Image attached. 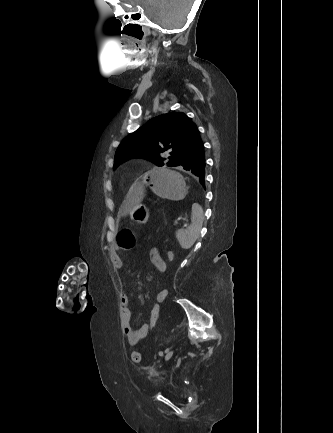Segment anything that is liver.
Returning <instances> with one entry per match:
<instances>
[{
  "mask_svg": "<svg viewBox=\"0 0 333 433\" xmlns=\"http://www.w3.org/2000/svg\"><path fill=\"white\" fill-rule=\"evenodd\" d=\"M148 185L146 183H139L137 189L139 192H132V201H122L121 208L125 214L130 215L137 208L136 201H147L148 195Z\"/></svg>",
  "mask_w": 333,
  "mask_h": 433,
  "instance_id": "1",
  "label": "liver"
}]
</instances>
